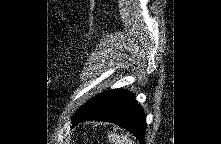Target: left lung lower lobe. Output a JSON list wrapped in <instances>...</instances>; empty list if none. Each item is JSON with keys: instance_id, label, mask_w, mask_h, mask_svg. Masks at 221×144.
I'll return each mask as SVG.
<instances>
[{"instance_id": "1", "label": "left lung lower lobe", "mask_w": 221, "mask_h": 144, "mask_svg": "<svg viewBox=\"0 0 221 144\" xmlns=\"http://www.w3.org/2000/svg\"><path fill=\"white\" fill-rule=\"evenodd\" d=\"M89 120L108 121L127 129L145 144L146 116L135 96L126 90H109L92 109L73 120V126Z\"/></svg>"}]
</instances>
